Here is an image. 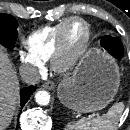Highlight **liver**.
<instances>
[{
    "mask_svg": "<svg viewBox=\"0 0 130 130\" xmlns=\"http://www.w3.org/2000/svg\"><path fill=\"white\" fill-rule=\"evenodd\" d=\"M19 99V82L7 54L0 48V130L7 128Z\"/></svg>",
    "mask_w": 130,
    "mask_h": 130,
    "instance_id": "1",
    "label": "liver"
}]
</instances>
